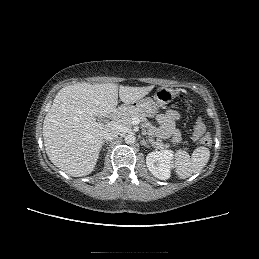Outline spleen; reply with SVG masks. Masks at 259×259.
I'll use <instances>...</instances> for the list:
<instances>
[{
    "label": "spleen",
    "mask_w": 259,
    "mask_h": 259,
    "mask_svg": "<svg viewBox=\"0 0 259 259\" xmlns=\"http://www.w3.org/2000/svg\"><path fill=\"white\" fill-rule=\"evenodd\" d=\"M210 158V150L207 147H197L192 156L185 151H178L172 167L181 179L190 177L193 173L201 171Z\"/></svg>",
    "instance_id": "3e777b00"
}]
</instances>
